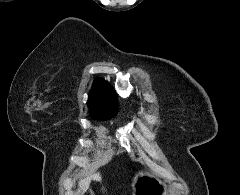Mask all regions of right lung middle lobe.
<instances>
[{
	"label": "right lung middle lobe",
	"instance_id": "right-lung-middle-lobe-1",
	"mask_svg": "<svg viewBox=\"0 0 240 195\" xmlns=\"http://www.w3.org/2000/svg\"><path fill=\"white\" fill-rule=\"evenodd\" d=\"M90 109V116L93 119L108 120L116 115L117 104L113 106H103V105H88Z\"/></svg>",
	"mask_w": 240,
	"mask_h": 195
}]
</instances>
